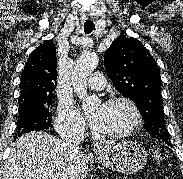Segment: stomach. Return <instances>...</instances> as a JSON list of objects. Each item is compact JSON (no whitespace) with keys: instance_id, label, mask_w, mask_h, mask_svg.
<instances>
[{"instance_id":"1","label":"stomach","mask_w":183,"mask_h":179,"mask_svg":"<svg viewBox=\"0 0 183 179\" xmlns=\"http://www.w3.org/2000/svg\"><path fill=\"white\" fill-rule=\"evenodd\" d=\"M99 162L124 174H133L143 168L147 162L145 149L136 142L103 143L96 150Z\"/></svg>"}]
</instances>
